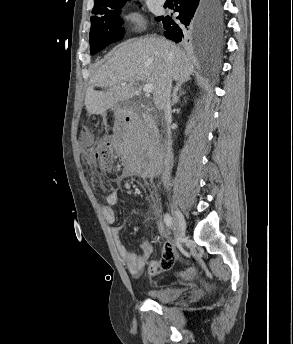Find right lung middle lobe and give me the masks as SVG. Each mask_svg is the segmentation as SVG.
Masks as SVG:
<instances>
[{"label": "right lung middle lobe", "mask_w": 293, "mask_h": 344, "mask_svg": "<svg viewBox=\"0 0 293 344\" xmlns=\"http://www.w3.org/2000/svg\"><path fill=\"white\" fill-rule=\"evenodd\" d=\"M127 0L92 10L90 30V51L94 55L113 42L123 38L121 29V8ZM220 20L221 13H217Z\"/></svg>", "instance_id": "obj_1"}]
</instances>
